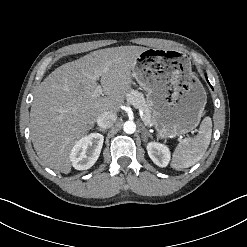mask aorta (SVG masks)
Segmentation results:
<instances>
[{
  "label": "aorta",
  "instance_id": "obj_1",
  "mask_svg": "<svg viewBox=\"0 0 247 247\" xmlns=\"http://www.w3.org/2000/svg\"><path fill=\"white\" fill-rule=\"evenodd\" d=\"M123 130L127 134H133L136 131V124L133 121H126Z\"/></svg>",
  "mask_w": 247,
  "mask_h": 247
}]
</instances>
